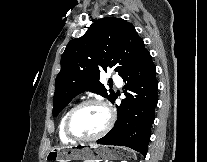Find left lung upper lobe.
<instances>
[{
    "mask_svg": "<svg viewBox=\"0 0 207 162\" xmlns=\"http://www.w3.org/2000/svg\"><path fill=\"white\" fill-rule=\"evenodd\" d=\"M145 51L131 23L114 17L96 20L82 37L66 46L55 83L53 116L85 90L98 92L113 102L115 94L107 93L99 81L100 72L113 68L121 76Z\"/></svg>",
    "mask_w": 207,
    "mask_h": 162,
    "instance_id": "5c2ea615",
    "label": "left lung upper lobe"
}]
</instances>
